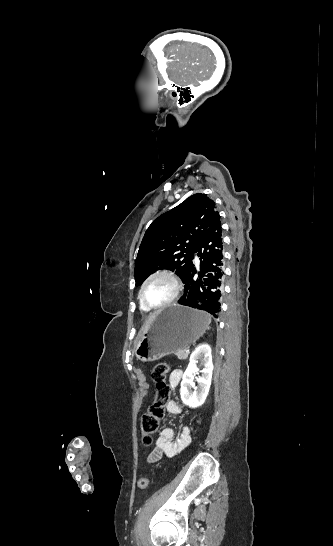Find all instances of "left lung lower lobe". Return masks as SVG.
<instances>
[{
	"label": "left lung lower lobe",
	"mask_w": 333,
	"mask_h": 546,
	"mask_svg": "<svg viewBox=\"0 0 333 546\" xmlns=\"http://www.w3.org/2000/svg\"><path fill=\"white\" fill-rule=\"evenodd\" d=\"M221 233L220 216H218L195 246L194 251L200 259L201 276L199 279L194 276L196 268L192 263L183 280L184 295L178 301L180 305L207 311L215 318L220 313L223 296L224 268Z\"/></svg>",
	"instance_id": "0a47b994"
}]
</instances>
